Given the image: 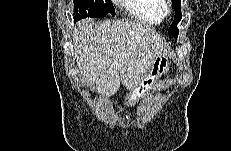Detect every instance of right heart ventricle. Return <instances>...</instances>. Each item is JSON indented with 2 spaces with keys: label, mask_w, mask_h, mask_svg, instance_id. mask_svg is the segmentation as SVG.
<instances>
[{
  "label": "right heart ventricle",
  "mask_w": 231,
  "mask_h": 151,
  "mask_svg": "<svg viewBox=\"0 0 231 151\" xmlns=\"http://www.w3.org/2000/svg\"><path fill=\"white\" fill-rule=\"evenodd\" d=\"M124 4L136 23L155 25L164 19L165 6L162 0H126Z\"/></svg>",
  "instance_id": "obj_1"
}]
</instances>
